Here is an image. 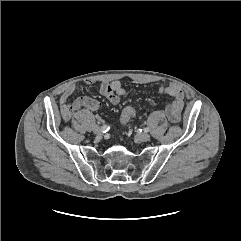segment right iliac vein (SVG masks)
I'll list each match as a JSON object with an SVG mask.
<instances>
[{"mask_svg":"<svg viewBox=\"0 0 241 241\" xmlns=\"http://www.w3.org/2000/svg\"><path fill=\"white\" fill-rule=\"evenodd\" d=\"M93 132H94L96 135H102V134H103L102 129H101L100 127H98V126L94 127Z\"/></svg>","mask_w":241,"mask_h":241,"instance_id":"obj_1","label":"right iliac vein"}]
</instances>
